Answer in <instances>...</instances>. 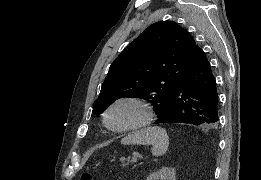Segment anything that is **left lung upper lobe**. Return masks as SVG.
Here are the masks:
<instances>
[{"label":"left lung upper lobe","instance_id":"obj_1","mask_svg":"<svg viewBox=\"0 0 261 180\" xmlns=\"http://www.w3.org/2000/svg\"><path fill=\"white\" fill-rule=\"evenodd\" d=\"M198 48L193 37L173 21L150 25L111 64L93 113L101 114L113 101L131 97L149 101L160 116Z\"/></svg>","mask_w":261,"mask_h":180}]
</instances>
